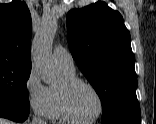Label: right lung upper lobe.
I'll list each match as a JSON object with an SVG mask.
<instances>
[{
  "label": "right lung upper lobe",
  "mask_w": 156,
  "mask_h": 124,
  "mask_svg": "<svg viewBox=\"0 0 156 124\" xmlns=\"http://www.w3.org/2000/svg\"><path fill=\"white\" fill-rule=\"evenodd\" d=\"M30 11L20 0L0 4V63L31 66Z\"/></svg>",
  "instance_id": "cb5924a9"
}]
</instances>
